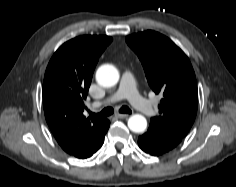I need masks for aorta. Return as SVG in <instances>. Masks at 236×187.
<instances>
[{
    "label": "aorta",
    "mask_w": 236,
    "mask_h": 187,
    "mask_svg": "<svg viewBox=\"0 0 236 187\" xmlns=\"http://www.w3.org/2000/svg\"><path fill=\"white\" fill-rule=\"evenodd\" d=\"M119 72L116 67L110 64L100 66L96 72V81L103 87H112L119 81ZM128 127L132 132L142 133L147 127V120L144 116L135 114L128 119Z\"/></svg>",
    "instance_id": "1"
}]
</instances>
